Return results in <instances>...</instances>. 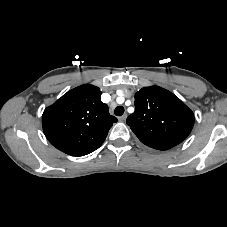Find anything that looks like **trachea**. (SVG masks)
Returning <instances> with one entry per match:
<instances>
[{
  "mask_svg": "<svg viewBox=\"0 0 227 227\" xmlns=\"http://www.w3.org/2000/svg\"><path fill=\"white\" fill-rule=\"evenodd\" d=\"M114 113L116 116H121L124 113V108L122 106H117Z\"/></svg>",
  "mask_w": 227,
  "mask_h": 227,
  "instance_id": "3493384b",
  "label": "trachea"
}]
</instances>
